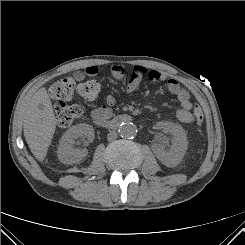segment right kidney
I'll use <instances>...</instances> for the list:
<instances>
[{
	"mask_svg": "<svg viewBox=\"0 0 245 245\" xmlns=\"http://www.w3.org/2000/svg\"><path fill=\"white\" fill-rule=\"evenodd\" d=\"M83 139L86 144L94 138V129L89 124H78L68 129L62 136L58 147V159L64 164H73L87 155L85 148L78 149L74 145L77 139Z\"/></svg>",
	"mask_w": 245,
	"mask_h": 245,
	"instance_id": "obj_1",
	"label": "right kidney"
}]
</instances>
